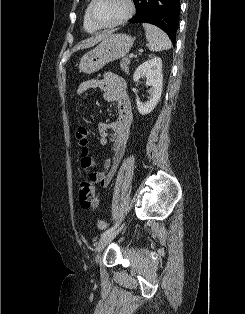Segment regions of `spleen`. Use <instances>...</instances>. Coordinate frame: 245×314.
Returning a JSON list of instances; mask_svg holds the SVG:
<instances>
[{
    "instance_id": "3e777b00",
    "label": "spleen",
    "mask_w": 245,
    "mask_h": 314,
    "mask_svg": "<svg viewBox=\"0 0 245 314\" xmlns=\"http://www.w3.org/2000/svg\"><path fill=\"white\" fill-rule=\"evenodd\" d=\"M143 27L150 51L158 52L171 48V41L164 31L148 23H143Z\"/></svg>"
}]
</instances>
